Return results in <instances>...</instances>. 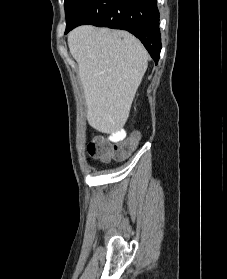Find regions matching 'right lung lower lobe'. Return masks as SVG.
I'll return each instance as SVG.
<instances>
[{"mask_svg": "<svg viewBox=\"0 0 227 279\" xmlns=\"http://www.w3.org/2000/svg\"><path fill=\"white\" fill-rule=\"evenodd\" d=\"M157 0H86L68 33L82 24L122 29L141 40L157 64L161 51Z\"/></svg>", "mask_w": 227, "mask_h": 279, "instance_id": "98d812e1", "label": "right lung lower lobe"}]
</instances>
